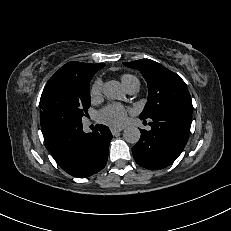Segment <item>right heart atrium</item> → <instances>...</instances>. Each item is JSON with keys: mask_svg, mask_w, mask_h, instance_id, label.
Returning a JSON list of instances; mask_svg holds the SVG:
<instances>
[{"mask_svg": "<svg viewBox=\"0 0 231 231\" xmlns=\"http://www.w3.org/2000/svg\"><path fill=\"white\" fill-rule=\"evenodd\" d=\"M102 93V80L97 78L90 87V96L92 99L100 97Z\"/></svg>", "mask_w": 231, "mask_h": 231, "instance_id": "1", "label": "right heart atrium"}]
</instances>
